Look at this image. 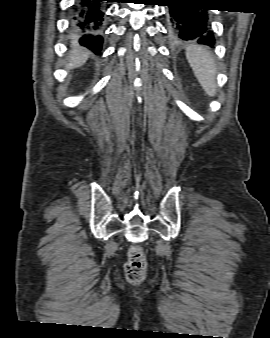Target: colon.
Wrapping results in <instances>:
<instances>
[{
    "mask_svg": "<svg viewBox=\"0 0 270 338\" xmlns=\"http://www.w3.org/2000/svg\"><path fill=\"white\" fill-rule=\"evenodd\" d=\"M126 278L131 284H138L144 277L146 262L144 252L139 246H132L124 266Z\"/></svg>",
    "mask_w": 270,
    "mask_h": 338,
    "instance_id": "1",
    "label": "colon"
}]
</instances>
